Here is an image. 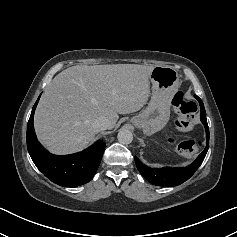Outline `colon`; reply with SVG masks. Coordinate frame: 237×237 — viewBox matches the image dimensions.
<instances>
[{"instance_id": "1", "label": "colon", "mask_w": 237, "mask_h": 237, "mask_svg": "<svg viewBox=\"0 0 237 237\" xmlns=\"http://www.w3.org/2000/svg\"><path fill=\"white\" fill-rule=\"evenodd\" d=\"M172 106L177 117L175 119V128L178 131L190 130L194 125L197 106L194 102L185 98L182 92H178L173 100ZM178 148L182 152H196L200 148V144L193 140H186L178 144Z\"/></svg>"}]
</instances>
